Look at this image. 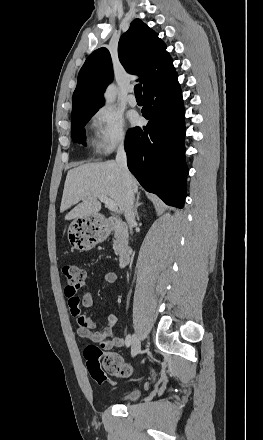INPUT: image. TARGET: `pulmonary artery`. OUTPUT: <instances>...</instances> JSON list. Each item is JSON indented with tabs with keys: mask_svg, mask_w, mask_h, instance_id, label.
Instances as JSON below:
<instances>
[{
	"mask_svg": "<svg viewBox=\"0 0 263 440\" xmlns=\"http://www.w3.org/2000/svg\"><path fill=\"white\" fill-rule=\"evenodd\" d=\"M127 102L132 107H135L137 105V100L134 94L132 93V89L130 90L129 95L127 96Z\"/></svg>",
	"mask_w": 263,
	"mask_h": 440,
	"instance_id": "e3ab8cb5",
	"label": "pulmonary artery"
}]
</instances>
